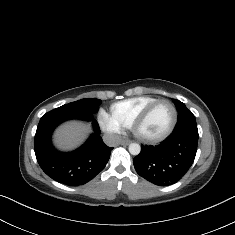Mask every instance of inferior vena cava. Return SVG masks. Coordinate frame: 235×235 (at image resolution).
<instances>
[{
	"instance_id": "1",
	"label": "inferior vena cava",
	"mask_w": 235,
	"mask_h": 235,
	"mask_svg": "<svg viewBox=\"0 0 235 235\" xmlns=\"http://www.w3.org/2000/svg\"><path fill=\"white\" fill-rule=\"evenodd\" d=\"M104 143L109 147L118 146L121 141V137L118 134H105L103 136Z\"/></svg>"
}]
</instances>
